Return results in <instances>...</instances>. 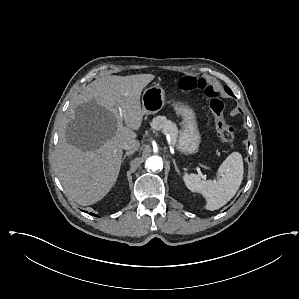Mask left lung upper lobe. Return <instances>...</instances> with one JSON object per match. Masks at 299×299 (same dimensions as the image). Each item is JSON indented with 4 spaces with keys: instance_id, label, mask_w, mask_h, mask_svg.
<instances>
[{
    "instance_id": "left-lung-upper-lobe-1",
    "label": "left lung upper lobe",
    "mask_w": 299,
    "mask_h": 299,
    "mask_svg": "<svg viewBox=\"0 0 299 299\" xmlns=\"http://www.w3.org/2000/svg\"><path fill=\"white\" fill-rule=\"evenodd\" d=\"M225 90L228 94H230V95L233 94L232 91L227 86H225Z\"/></svg>"
}]
</instances>
